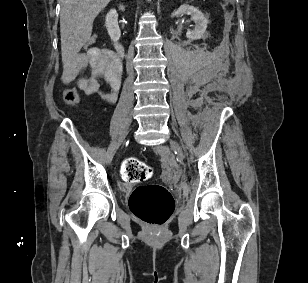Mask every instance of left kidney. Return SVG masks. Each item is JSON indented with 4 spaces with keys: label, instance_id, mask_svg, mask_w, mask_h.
<instances>
[{
    "label": "left kidney",
    "instance_id": "1",
    "mask_svg": "<svg viewBox=\"0 0 308 283\" xmlns=\"http://www.w3.org/2000/svg\"><path fill=\"white\" fill-rule=\"evenodd\" d=\"M190 14L191 20L195 22L196 26L193 31L188 30L186 36L188 39L196 40L201 39L207 28V19L204 14L197 8L190 5H181L176 11L172 13V17Z\"/></svg>",
    "mask_w": 308,
    "mask_h": 283
}]
</instances>
